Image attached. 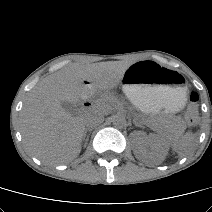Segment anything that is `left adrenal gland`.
I'll use <instances>...</instances> for the list:
<instances>
[{"mask_svg":"<svg viewBox=\"0 0 212 212\" xmlns=\"http://www.w3.org/2000/svg\"><path fill=\"white\" fill-rule=\"evenodd\" d=\"M135 126H138V127H139L140 125H139L138 123L135 122Z\"/></svg>","mask_w":212,"mask_h":212,"instance_id":"left-adrenal-gland-1","label":"left adrenal gland"}]
</instances>
